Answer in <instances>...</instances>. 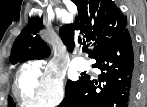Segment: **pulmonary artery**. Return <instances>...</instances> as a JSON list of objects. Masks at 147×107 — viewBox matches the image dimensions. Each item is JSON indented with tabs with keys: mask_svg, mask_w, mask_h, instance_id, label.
Here are the masks:
<instances>
[{
	"mask_svg": "<svg viewBox=\"0 0 147 107\" xmlns=\"http://www.w3.org/2000/svg\"><path fill=\"white\" fill-rule=\"evenodd\" d=\"M73 66L79 70H84L87 68V61L83 58H75L73 61Z\"/></svg>",
	"mask_w": 147,
	"mask_h": 107,
	"instance_id": "pulmonary-artery-1",
	"label": "pulmonary artery"
}]
</instances>
